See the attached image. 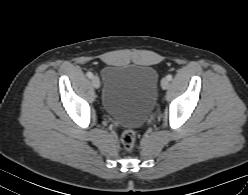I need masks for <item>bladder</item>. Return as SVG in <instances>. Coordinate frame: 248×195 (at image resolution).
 Masks as SVG:
<instances>
[{
	"instance_id": "bladder-1",
	"label": "bladder",
	"mask_w": 248,
	"mask_h": 195,
	"mask_svg": "<svg viewBox=\"0 0 248 195\" xmlns=\"http://www.w3.org/2000/svg\"><path fill=\"white\" fill-rule=\"evenodd\" d=\"M102 77L101 103L106 113L123 126L142 125L156 102V69L146 65H109Z\"/></svg>"
}]
</instances>
